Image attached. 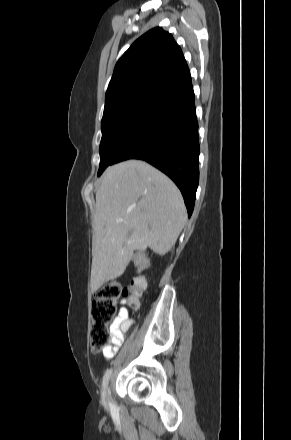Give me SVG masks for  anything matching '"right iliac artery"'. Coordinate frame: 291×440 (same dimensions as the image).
<instances>
[{
    "label": "right iliac artery",
    "instance_id": "right-iliac-artery-1",
    "mask_svg": "<svg viewBox=\"0 0 291 440\" xmlns=\"http://www.w3.org/2000/svg\"><path fill=\"white\" fill-rule=\"evenodd\" d=\"M111 373H112V369H107L105 374H104V376H103V382H102V387H103L102 401H103V404H104L105 407L107 406L106 405V401H105V397H106L105 388H106V386L108 384V381H109Z\"/></svg>",
    "mask_w": 291,
    "mask_h": 440
}]
</instances>
